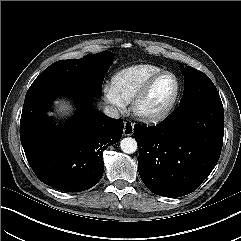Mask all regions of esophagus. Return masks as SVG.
Wrapping results in <instances>:
<instances>
[{
	"label": "esophagus",
	"instance_id": "esophagus-1",
	"mask_svg": "<svg viewBox=\"0 0 241 241\" xmlns=\"http://www.w3.org/2000/svg\"><path fill=\"white\" fill-rule=\"evenodd\" d=\"M134 132V125L131 122H124L123 133L125 136H131Z\"/></svg>",
	"mask_w": 241,
	"mask_h": 241
}]
</instances>
